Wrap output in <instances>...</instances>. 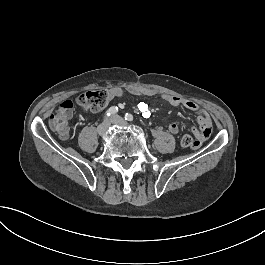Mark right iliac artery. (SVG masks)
I'll list each match as a JSON object with an SVG mask.
<instances>
[{"label": "right iliac artery", "mask_w": 265, "mask_h": 265, "mask_svg": "<svg viewBox=\"0 0 265 265\" xmlns=\"http://www.w3.org/2000/svg\"><path fill=\"white\" fill-rule=\"evenodd\" d=\"M117 112H118V107H115V106L110 107V108L106 111V113H105V115H104V120H106L108 117H110V116L116 114Z\"/></svg>", "instance_id": "right-iliac-artery-1"}]
</instances>
